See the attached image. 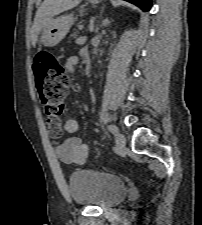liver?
I'll return each instance as SVG.
<instances>
[{
  "instance_id": "liver-1",
  "label": "liver",
  "mask_w": 202,
  "mask_h": 225,
  "mask_svg": "<svg viewBox=\"0 0 202 225\" xmlns=\"http://www.w3.org/2000/svg\"><path fill=\"white\" fill-rule=\"evenodd\" d=\"M82 0H44L38 8L32 26L31 41L35 46L41 30L56 15L76 7Z\"/></svg>"
}]
</instances>
